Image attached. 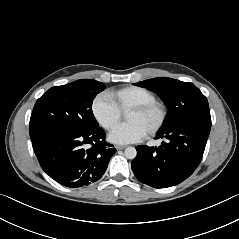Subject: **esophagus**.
Here are the masks:
<instances>
[{
	"label": "esophagus",
	"mask_w": 239,
	"mask_h": 239,
	"mask_svg": "<svg viewBox=\"0 0 239 239\" xmlns=\"http://www.w3.org/2000/svg\"><path fill=\"white\" fill-rule=\"evenodd\" d=\"M124 148H125V146H123V145H116L117 150H123Z\"/></svg>",
	"instance_id": "1"
}]
</instances>
